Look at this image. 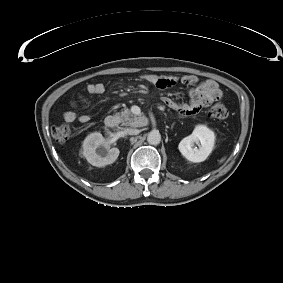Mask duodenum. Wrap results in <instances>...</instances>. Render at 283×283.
I'll use <instances>...</instances> for the list:
<instances>
[{
  "label": "duodenum",
  "instance_id": "duodenum-1",
  "mask_svg": "<svg viewBox=\"0 0 283 283\" xmlns=\"http://www.w3.org/2000/svg\"><path fill=\"white\" fill-rule=\"evenodd\" d=\"M104 124L109 129L115 128L117 125V118L115 116H107L104 120Z\"/></svg>",
  "mask_w": 283,
  "mask_h": 283
}]
</instances>
